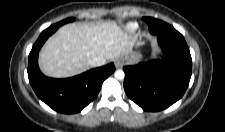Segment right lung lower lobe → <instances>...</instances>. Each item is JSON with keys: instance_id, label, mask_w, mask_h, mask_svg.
<instances>
[{"instance_id": "1", "label": "right lung lower lobe", "mask_w": 225, "mask_h": 132, "mask_svg": "<svg viewBox=\"0 0 225 132\" xmlns=\"http://www.w3.org/2000/svg\"><path fill=\"white\" fill-rule=\"evenodd\" d=\"M60 26L54 24L44 30L29 54L28 78L39 99L60 113H77L91 103L100 91L103 81L115 71L110 63L67 79L44 76L38 67V52L47 38Z\"/></svg>"}]
</instances>
